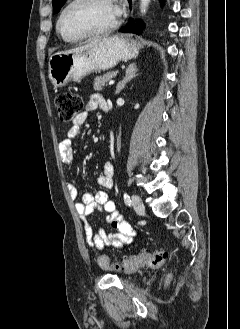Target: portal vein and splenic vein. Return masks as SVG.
<instances>
[{"label": "portal vein and splenic vein", "instance_id": "18ae733b", "mask_svg": "<svg viewBox=\"0 0 240 329\" xmlns=\"http://www.w3.org/2000/svg\"><path fill=\"white\" fill-rule=\"evenodd\" d=\"M114 82H115L114 80H110V81H109V85H113Z\"/></svg>", "mask_w": 240, "mask_h": 329}]
</instances>
